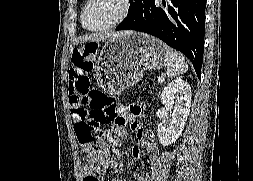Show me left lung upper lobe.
<instances>
[{
  "label": "left lung upper lobe",
  "instance_id": "1",
  "mask_svg": "<svg viewBox=\"0 0 253 181\" xmlns=\"http://www.w3.org/2000/svg\"><path fill=\"white\" fill-rule=\"evenodd\" d=\"M137 2V0H134L133 3H131L130 7H129V13L131 12V10L133 9L135 3ZM128 13V14H129Z\"/></svg>",
  "mask_w": 253,
  "mask_h": 181
}]
</instances>
